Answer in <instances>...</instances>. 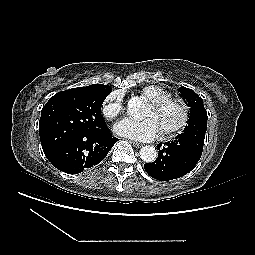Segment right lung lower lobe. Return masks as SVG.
Masks as SVG:
<instances>
[{
  "label": "right lung lower lobe",
  "mask_w": 255,
  "mask_h": 255,
  "mask_svg": "<svg viewBox=\"0 0 255 255\" xmlns=\"http://www.w3.org/2000/svg\"><path fill=\"white\" fill-rule=\"evenodd\" d=\"M117 141L105 126L98 132L79 133L68 138L47 158L57 169L77 174L100 163Z\"/></svg>",
  "instance_id": "98d812e1"
}]
</instances>
